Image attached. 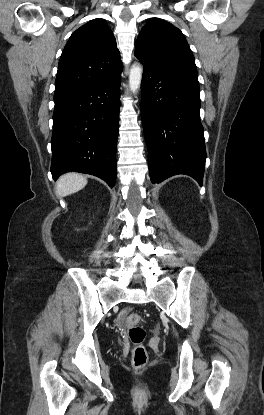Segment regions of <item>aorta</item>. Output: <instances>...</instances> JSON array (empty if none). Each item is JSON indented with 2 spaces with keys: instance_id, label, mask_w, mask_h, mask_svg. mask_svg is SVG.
Returning <instances> with one entry per match:
<instances>
[{
  "instance_id": "762f6f07",
  "label": "aorta",
  "mask_w": 264,
  "mask_h": 415,
  "mask_svg": "<svg viewBox=\"0 0 264 415\" xmlns=\"http://www.w3.org/2000/svg\"><path fill=\"white\" fill-rule=\"evenodd\" d=\"M143 69L140 65H132L129 73V87L132 93L140 88Z\"/></svg>"
}]
</instances>
